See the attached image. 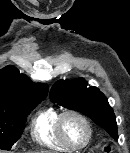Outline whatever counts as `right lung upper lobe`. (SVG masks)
Wrapping results in <instances>:
<instances>
[{"label": "right lung upper lobe", "mask_w": 130, "mask_h": 153, "mask_svg": "<svg viewBox=\"0 0 130 153\" xmlns=\"http://www.w3.org/2000/svg\"><path fill=\"white\" fill-rule=\"evenodd\" d=\"M47 93V85L31 82L26 75L20 74L13 66L0 70V108H21L42 101Z\"/></svg>", "instance_id": "obj_1"}]
</instances>
